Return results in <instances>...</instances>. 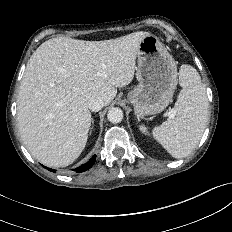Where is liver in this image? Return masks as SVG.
Masks as SVG:
<instances>
[{"mask_svg": "<svg viewBox=\"0 0 232 232\" xmlns=\"http://www.w3.org/2000/svg\"><path fill=\"white\" fill-rule=\"evenodd\" d=\"M148 32L104 41L56 37L32 54L17 100L20 136L31 155L50 167L72 164L91 126L88 101L107 106L134 77L140 42Z\"/></svg>", "mask_w": 232, "mask_h": 232, "instance_id": "6515ba94", "label": "liver"}]
</instances>
